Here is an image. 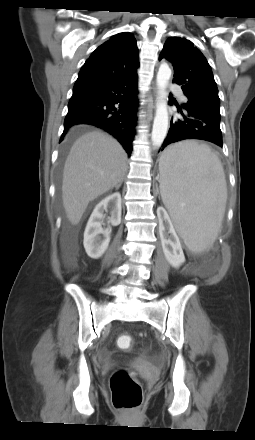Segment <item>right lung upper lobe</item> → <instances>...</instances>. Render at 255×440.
Listing matches in <instances>:
<instances>
[{"label":"right lung upper lobe","mask_w":255,"mask_h":440,"mask_svg":"<svg viewBox=\"0 0 255 440\" xmlns=\"http://www.w3.org/2000/svg\"><path fill=\"white\" fill-rule=\"evenodd\" d=\"M139 67L136 40L122 32L100 45L82 66L73 92L96 88L129 76Z\"/></svg>","instance_id":"cb5924a9"}]
</instances>
